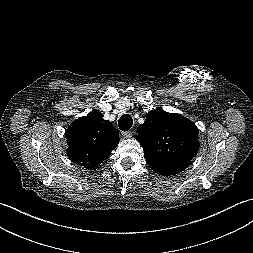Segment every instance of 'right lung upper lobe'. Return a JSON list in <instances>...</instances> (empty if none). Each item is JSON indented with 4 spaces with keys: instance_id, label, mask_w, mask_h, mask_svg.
Returning <instances> with one entry per match:
<instances>
[{
    "instance_id": "obj_1",
    "label": "right lung upper lobe",
    "mask_w": 253,
    "mask_h": 253,
    "mask_svg": "<svg viewBox=\"0 0 253 253\" xmlns=\"http://www.w3.org/2000/svg\"><path fill=\"white\" fill-rule=\"evenodd\" d=\"M119 133L102 113L93 111L74 121L66 130L67 155L87 169L97 168L109 158L119 141Z\"/></svg>"
}]
</instances>
